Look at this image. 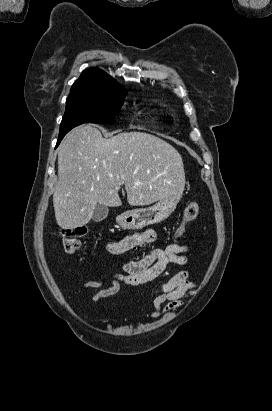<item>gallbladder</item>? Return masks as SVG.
I'll use <instances>...</instances> for the list:
<instances>
[{
	"label": "gallbladder",
	"instance_id": "1",
	"mask_svg": "<svg viewBox=\"0 0 272 411\" xmlns=\"http://www.w3.org/2000/svg\"><path fill=\"white\" fill-rule=\"evenodd\" d=\"M108 212L109 209L107 206L98 203L94 209L92 220L94 222H101L107 217Z\"/></svg>",
	"mask_w": 272,
	"mask_h": 411
}]
</instances>
